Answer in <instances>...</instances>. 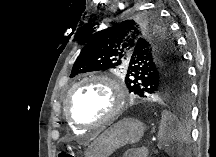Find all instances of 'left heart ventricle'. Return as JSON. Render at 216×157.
Segmentation results:
<instances>
[{"instance_id":"b2bd125f","label":"left heart ventricle","mask_w":216,"mask_h":157,"mask_svg":"<svg viewBox=\"0 0 216 157\" xmlns=\"http://www.w3.org/2000/svg\"><path fill=\"white\" fill-rule=\"evenodd\" d=\"M112 106L110 91L99 83H87L73 91L71 112L81 122L102 118Z\"/></svg>"}]
</instances>
